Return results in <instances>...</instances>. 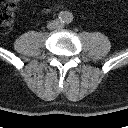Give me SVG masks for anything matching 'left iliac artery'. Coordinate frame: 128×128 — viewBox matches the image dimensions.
I'll return each instance as SVG.
<instances>
[{"label":"left iliac artery","mask_w":128,"mask_h":128,"mask_svg":"<svg viewBox=\"0 0 128 128\" xmlns=\"http://www.w3.org/2000/svg\"><path fill=\"white\" fill-rule=\"evenodd\" d=\"M72 20H73V16L71 15V14H68L67 16H66V23H71L72 22Z\"/></svg>","instance_id":"obj_1"}]
</instances>
